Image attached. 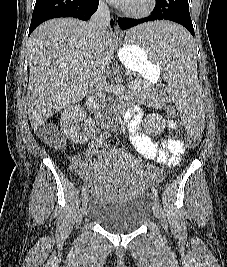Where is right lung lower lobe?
Here are the masks:
<instances>
[{
    "mask_svg": "<svg viewBox=\"0 0 227 267\" xmlns=\"http://www.w3.org/2000/svg\"><path fill=\"white\" fill-rule=\"evenodd\" d=\"M98 0H36L29 35L42 22L59 17L88 20L98 8ZM113 26V20L110 22Z\"/></svg>",
    "mask_w": 227,
    "mask_h": 267,
    "instance_id": "1",
    "label": "right lung lower lobe"
}]
</instances>
